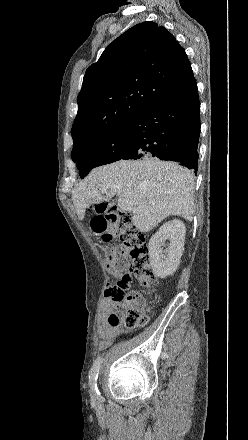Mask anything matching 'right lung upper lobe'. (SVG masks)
Masks as SVG:
<instances>
[{
	"label": "right lung upper lobe",
	"instance_id": "obj_1",
	"mask_svg": "<svg viewBox=\"0 0 248 440\" xmlns=\"http://www.w3.org/2000/svg\"><path fill=\"white\" fill-rule=\"evenodd\" d=\"M195 85L175 37L151 21L135 25L87 69L71 129L73 148L128 123L152 102Z\"/></svg>",
	"mask_w": 248,
	"mask_h": 440
}]
</instances>
